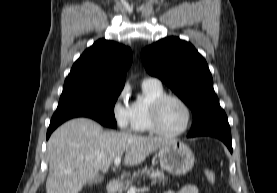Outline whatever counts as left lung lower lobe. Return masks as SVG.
<instances>
[{"label": "left lung lower lobe", "mask_w": 277, "mask_h": 193, "mask_svg": "<svg viewBox=\"0 0 277 193\" xmlns=\"http://www.w3.org/2000/svg\"><path fill=\"white\" fill-rule=\"evenodd\" d=\"M212 136L223 141L232 153L231 131L227 117L218 118L191 131L187 137Z\"/></svg>", "instance_id": "obj_1"}]
</instances>
